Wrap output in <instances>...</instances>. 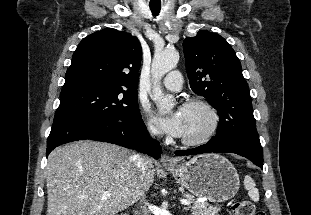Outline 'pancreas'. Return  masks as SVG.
Returning <instances> with one entry per match:
<instances>
[{"mask_svg":"<svg viewBox=\"0 0 311 215\" xmlns=\"http://www.w3.org/2000/svg\"><path fill=\"white\" fill-rule=\"evenodd\" d=\"M184 197L192 203V206L189 208L193 215H218V212L221 210L219 207L209 205L207 202H198L194 199V196L189 193H185Z\"/></svg>","mask_w":311,"mask_h":215,"instance_id":"1","label":"pancreas"}]
</instances>
